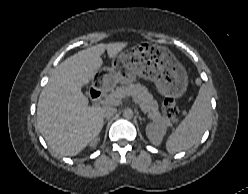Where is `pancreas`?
Instances as JSON below:
<instances>
[{"instance_id": "obj_1", "label": "pancreas", "mask_w": 248, "mask_h": 194, "mask_svg": "<svg viewBox=\"0 0 248 194\" xmlns=\"http://www.w3.org/2000/svg\"><path fill=\"white\" fill-rule=\"evenodd\" d=\"M125 96H132L135 102L139 104L141 110L147 114L148 118L151 120L171 126V121L160 114L158 111V103L154 100L153 95L148 92V89L145 86L140 83H130L117 87L108 95L107 98H114V100L109 101L108 103L116 105Z\"/></svg>"}]
</instances>
